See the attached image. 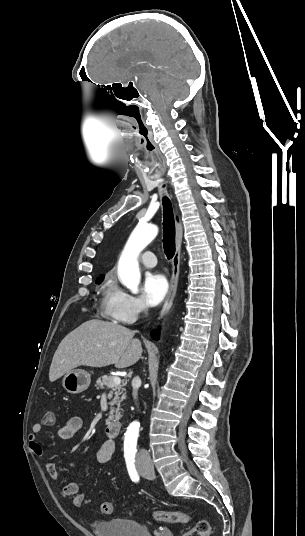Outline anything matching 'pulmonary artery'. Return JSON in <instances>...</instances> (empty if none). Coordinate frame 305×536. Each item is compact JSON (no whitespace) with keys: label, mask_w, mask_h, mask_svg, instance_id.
<instances>
[{"label":"pulmonary artery","mask_w":305,"mask_h":536,"mask_svg":"<svg viewBox=\"0 0 305 536\" xmlns=\"http://www.w3.org/2000/svg\"><path fill=\"white\" fill-rule=\"evenodd\" d=\"M138 260L146 267L152 268L156 266V256L155 254L150 250L143 251L139 257Z\"/></svg>","instance_id":"obj_1"}]
</instances>
